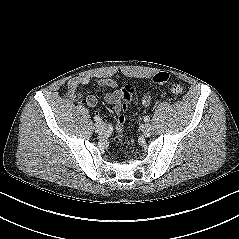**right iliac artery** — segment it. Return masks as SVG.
<instances>
[{
    "mask_svg": "<svg viewBox=\"0 0 239 239\" xmlns=\"http://www.w3.org/2000/svg\"><path fill=\"white\" fill-rule=\"evenodd\" d=\"M94 121L96 122V123H101L102 122V119L100 118V117H94Z\"/></svg>",
    "mask_w": 239,
    "mask_h": 239,
    "instance_id": "82829eb1",
    "label": "right iliac artery"
}]
</instances>
